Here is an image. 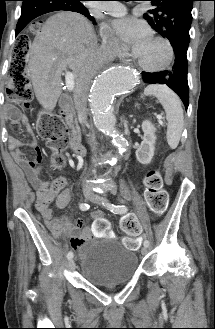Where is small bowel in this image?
I'll use <instances>...</instances> for the list:
<instances>
[{
	"label": "small bowel",
	"instance_id": "obj_1",
	"mask_svg": "<svg viewBox=\"0 0 215 329\" xmlns=\"http://www.w3.org/2000/svg\"><path fill=\"white\" fill-rule=\"evenodd\" d=\"M11 120L16 127L23 126L29 132L31 131L26 119L20 115L18 111L15 110L12 113ZM23 145V142L15 138L9 140V146L12 150L15 161L22 167L32 188L35 190V207L48 228L53 233H59L60 230H67L70 232L80 231V234L72 235L70 241L71 247L76 250L82 248L85 242L91 237V232L92 236H100L99 240L101 242L106 240L105 236H111V232L114 231V226L109 225L108 220H89L88 226L90 228H88L84 226L83 219H77L75 221V227L71 228L69 220L66 217H62L59 220L53 218V211L50 204L54 196H57V205L59 207H65L71 199V191L70 189L65 188V180L63 178H58L51 182L42 179L40 155L38 154L35 158L29 159L21 149ZM28 145L35 147L34 142H30ZM122 193L125 198L129 196L128 190L125 186L122 187ZM44 196H46V199H44ZM93 217L96 219H103V214L101 212H94ZM138 240L141 242L142 237H139Z\"/></svg>",
	"mask_w": 215,
	"mask_h": 329
}]
</instances>
